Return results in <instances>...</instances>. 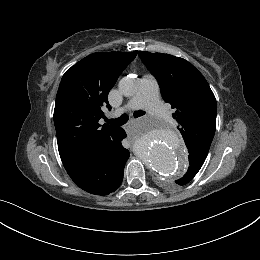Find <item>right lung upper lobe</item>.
<instances>
[{"label":"right lung upper lobe","instance_id":"right-lung-upper-lobe-1","mask_svg":"<svg viewBox=\"0 0 260 260\" xmlns=\"http://www.w3.org/2000/svg\"><path fill=\"white\" fill-rule=\"evenodd\" d=\"M134 52H97L69 68L56 96L54 124L65 169L115 139L121 128L100 125L103 108L110 109L108 93L133 61Z\"/></svg>","mask_w":260,"mask_h":260}]
</instances>
